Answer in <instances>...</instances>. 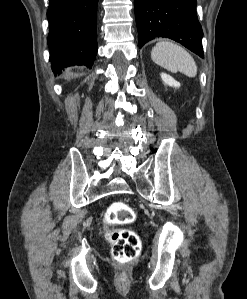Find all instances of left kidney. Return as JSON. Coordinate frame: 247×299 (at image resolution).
<instances>
[{"instance_id":"obj_1","label":"left kidney","mask_w":247,"mask_h":299,"mask_svg":"<svg viewBox=\"0 0 247 299\" xmlns=\"http://www.w3.org/2000/svg\"><path fill=\"white\" fill-rule=\"evenodd\" d=\"M161 79L164 82L165 85H169L171 87L178 88L180 87V83L177 82L173 77L166 73H161Z\"/></svg>"}]
</instances>
